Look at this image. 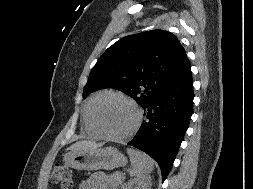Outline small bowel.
Returning a JSON list of instances; mask_svg holds the SVG:
<instances>
[{
    "label": "small bowel",
    "instance_id": "1",
    "mask_svg": "<svg viewBox=\"0 0 253 189\" xmlns=\"http://www.w3.org/2000/svg\"><path fill=\"white\" fill-rule=\"evenodd\" d=\"M110 185L107 181L105 174L97 172L92 174L81 185V189H110Z\"/></svg>",
    "mask_w": 253,
    "mask_h": 189
}]
</instances>
